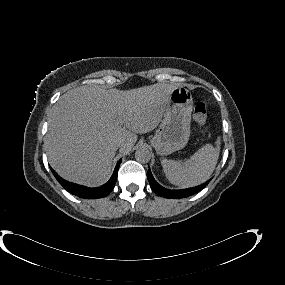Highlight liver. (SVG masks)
I'll use <instances>...</instances> for the list:
<instances>
[{"label": "liver", "mask_w": 285, "mask_h": 285, "mask_svg": "<svg viewBox=\"0 0 285 285\" xmlns=\"http://www.w3.org/2000/svg\"><path fill=\"white\" fill-rule=\"evenodd\" d=\"M173 85L104 90L80 86L63 94L48 117L45 147L51 167L64 179L95 187L111 173L116 144L128 152L137 134L155 129Z\"/></svg>", "instance_id": "liver-1"}]
</instances>
